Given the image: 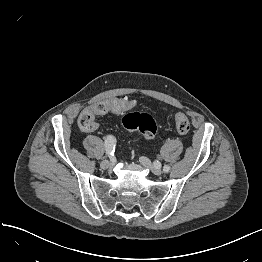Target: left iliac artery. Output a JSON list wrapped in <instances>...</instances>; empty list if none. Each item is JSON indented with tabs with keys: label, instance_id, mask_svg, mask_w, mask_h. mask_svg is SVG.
Listing matches in <instances>:
<instances>
[{
	"label": "left iliac artery",
	"instance_id": "obj_1",
	"mask_svg": "<svg viewBox=\"0 0 262 262\" xmlns=\"http://www.w3.org/2000/svg\"><path fill=\"white\" fill-rule=\"evenodd\" d=\"M163 171H164V172H169V171H170V167H169L168 165H165V166L163 167Z\"/></svg>",
	"mask_w": 262,
	"mask_h": 262
}]
</instances>
